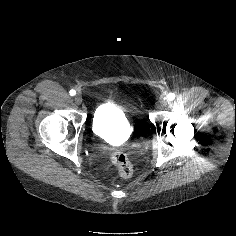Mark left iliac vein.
<instances>
[{
  "label": "left iliac vein",
  "mask_w": 236,
  "mask_h": 236,
  "mask_svg": "<svg viewBox=\"0 0 236 236\" xmlns=\"http://www.w3.org/2000/svg\"><path fill=\"white\" fill-rule=\"evenodd\" d=\"M169 101L165 98L163 99H160L157 103V107L158 108H163V107H166L168 105Z\"/></svg>",
  "instance_id": "4c4485c4"
}]
</instances>
